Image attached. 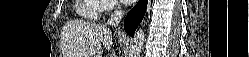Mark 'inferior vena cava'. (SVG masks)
I'll return each mask as SVG.
<instances>
[{
  "label": "inferior vena cava",
  "mask_w": 249,
  "mask_h": 57,
  "mask_svg": "<svg viewBox=\"0 0 249 57\" xmlns=\"http://www.w3.org/2000/svg\"><path fill=\"white\" fill-rule=\"evenodd\" d=\"M122 17H123V11L120 9H116L114 13L111 15L110 19L107 21V24L117 26L120 23Z\"/></svg>",
  "instance_id": "1"
}]
</instances>
